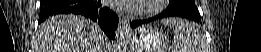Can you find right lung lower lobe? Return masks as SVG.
I'll return each instance as SVG.
<instances>
[{
  "label": "right lung lower lobe",
  "mask_w": 261,
  "mask_h": 52,
  "mask_svg": "<svg viewBox=\"0 0 261 52\" xmlns=\"http://www.w3.org/2000/svg\"><path fill=\"white\" fill-rule=\"evenodd\" d=\"M80 14L97 22L110 39L115 38L118 16L108 7L101 6L100 0H40L39 23L56 14Z\"/></svg>",
  "instance_id": "98d812e1"
}]
</instances>
